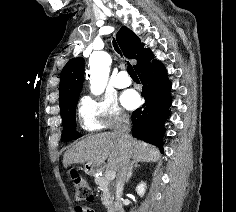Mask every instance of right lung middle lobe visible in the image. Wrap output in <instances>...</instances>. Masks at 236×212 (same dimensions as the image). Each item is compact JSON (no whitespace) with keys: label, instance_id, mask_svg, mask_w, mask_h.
Wrapping results in <instances>:
<instances>
[{"label":"right lung middle lobe","instance_id":"right-lung-middle-lobe-1","mask_svg":"<svg viewBox=\"0 0 236 212\" xmlns=\"http://www.w3.org/2000/svg\"><path fill=\"white\" fill-rule=\"evenodd\" d=\"M78 98L70 100L68 104L60 110L61 118L63 123V134H62V141H71L76 140L81 137V134L76 132V106H77Z\"/></svg>","mask_w":236,"mask_h":212}]
</instances>
